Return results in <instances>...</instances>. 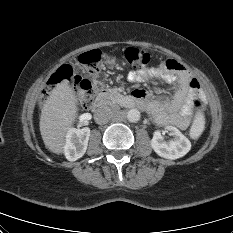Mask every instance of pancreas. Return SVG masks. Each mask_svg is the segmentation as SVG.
<instances>
[{
	"mask_svg": "<svg viewBox=\"0 0 233 233\" xmlns=\"http://www.w3.org/2000/svg\"><path fill=\"white\" fill-rule=\"evenodd\" d=\"M117 96H119V95H118V93H117V91H116L115 89H113V90L110 91V97H111V99H112L113 101H116L115 98H116Z\"/></svg>",
	"mask_w": 233,
	"mask_h": 233,
	"instance_id": "obj_1",
	"label": "pancreas"
}]
</instances>
